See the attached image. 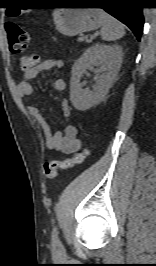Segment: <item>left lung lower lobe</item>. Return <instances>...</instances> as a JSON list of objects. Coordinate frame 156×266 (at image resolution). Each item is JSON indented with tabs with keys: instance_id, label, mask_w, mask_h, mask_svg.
I'll return each mask as SVG.
<instances>
[{
	"instance_id": "left-lung-lower-lobe-1",
	"label": "left lung lower lobe",
	"mask_w": 156,
	"mask_h": 266,
	"mask_svg": "<svg viewBox=\"0 0 156 266\" xmlns=\"http://www.w3.org/2000/svg\"><path fill=\"white\" fill-rule=\"evenodd\" d=\"M68 3L79 5H99L95 7L103 8L107 13L114 16L127 25L138 41H140L144 18L142 7L137 5L136 0H68Z\"/></svg>"
}]
</instances>
